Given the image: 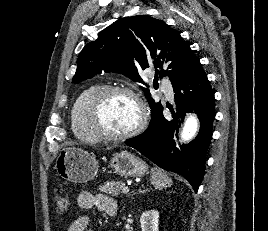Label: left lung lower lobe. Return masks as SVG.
Returning a JSON list of instances; mask_svg holds the SVG:
<instances>
[{
  "mask_svg": "<svg viewBox=\"0 0 268 231\" xmlns=\"http://www.w3.org/2000/svg\"><path fill=\"white\" fill-rule=\"evenodd\" d=\"M176 113L166 119L162 110L140 135L125 144L137 149L159 167L185 177L197 192L205 170L206 152L215 117L214 93L197 58L191 66L172 81ZM194 111L200 120L197 137L187 145L176 147L175 137L186 112Z\"/></svg>",
  "mask_w": 268,
  "mask_h": 231,
  "instance_id": "1",
  "label": "left lung lower lobe"
}]
</instances>
